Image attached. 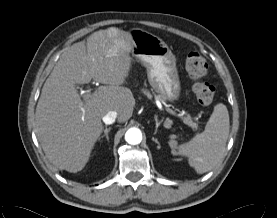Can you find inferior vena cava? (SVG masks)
I'll return each mask as SVG.
<instances>
[{"instance_id": "obj_1", "label": "inferior vena cava", "mask_w": 277, "mask_h": 218, "mask_svg": "<svg viewBox=\"0 0 277 218\" xmlns=\"http://www.w3.org/2000/svg\"><path fill=\"white\" fill-rule=\"evenodd\" d=\"M117 117L116 111H109L105 116H103L102 120L106 125H110L115 122Z\"/></svg>"}]
</instances>
